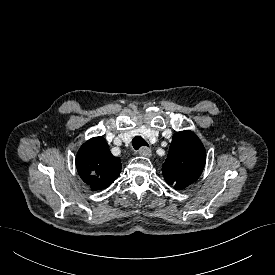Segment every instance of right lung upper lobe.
<instances>
[{"label":"right lung upper lobe","instance_id":"obj_1","mask_svg":"<svg viewBox=\"0 0 275 275\" xmlns=\"http://www.w3.org/2000/svg\"><path fill=\"white\" fill-rule=\"evenodd\" d=\"M76 167L82 180L92 190L109 187L121 172V160L111 154L109 146L101 136L85 142L76 157Z\"/></svg>","mask_w":275,"mask_h":275}]
</instances>
